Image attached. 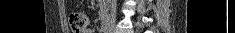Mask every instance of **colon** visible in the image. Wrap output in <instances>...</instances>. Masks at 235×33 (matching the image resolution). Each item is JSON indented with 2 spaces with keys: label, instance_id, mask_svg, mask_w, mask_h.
Returning a JSON list of instances; mask_svg holds the SVG:
<instances>
[{
  "label": "colon",
  "instance_id": "5ec220e1",
  "mask_svg": "<svg viewBox=\"0 0 235 33\" xmlns=\"http://www.w3.org/2000/svg\"><path fill=\"white\" fill-rule=\"evenodd\" d=\"M69 24L73 33H85L89 30L90 19L84 12H72L69 16Z\"/></svg>",
  "mask_w": 235,
  "mask_h": 33
}]
</instances>
